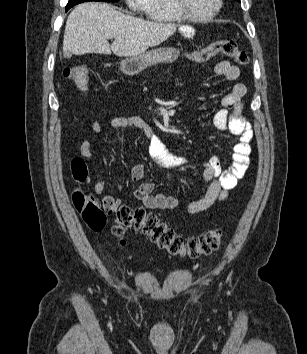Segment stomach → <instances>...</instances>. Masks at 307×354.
I'll list each match as a JSON object with an SVG mask.
<instances>
[{
  "instance_id": "obj_1",
  "label": "stomach",
  "mask_w": 307,
  "mask_h": 354,
  "mask_svg": "<svg viewBox=\"0 0 307 354\" xmlns=\"http://www.w3.org/2000/svg\"><path fill=\"white\" fill-rule=\"evenodd\" d=\"M183 30H181L182 32ZM180 55V51L175 48H159L140 55L124 59L120 64L121 71L129 76L136 75L153 65L161 63H171Z\"/></svg>"
}]
</instances>
